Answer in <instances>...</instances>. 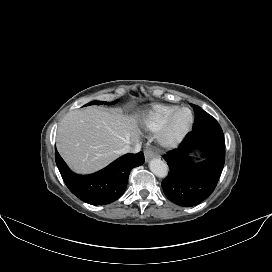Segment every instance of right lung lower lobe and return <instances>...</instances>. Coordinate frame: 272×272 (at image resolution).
I'll return each mask as SVG.
<instances>
[{
  "instance_id": "98d812e1",
  "label": "right lung lower lobe",
  "mask_w": 272,
  "mask_h": 272,
  "mask_svg": "<svg viewBox=\"0 0 272 272\" xmlns=\"http://www.w3.org/2000/svg\"><path fill=\"white\" fill-rule=\"evenodd\" d=\"M57 167L68 189L91 205H104L117 200L125 191L132 168L144 163V154H126L106 168L90 175L73 173L55 152Z\"/></svg>"
}]
</instances>
